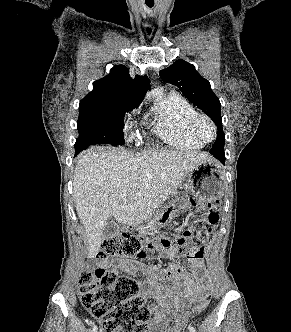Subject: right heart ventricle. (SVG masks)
Here are the masks:
<instances>
[{
    "label": "right heart ventricle",
    "mask_w": 291,
    "mask_h": 332,
    "mask_svg": "<svg viewBox=\"0 0 291 332\" xmlns=\"http://www.w3.org/2000/svg\"><path fill=\"white\" fill-rule=\"evenodd\" d=\"M150 111L155 120V132L165 143L187 150L203 147L204 144L190 132V120L198 112L185 97L169 92L158 97Z\"/></svg>",
    "instance_id": "e07e8e85"
}]
</instances>
